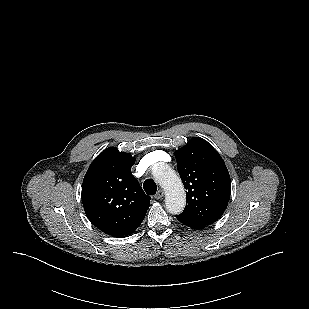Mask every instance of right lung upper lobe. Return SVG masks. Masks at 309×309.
I'll return each mask as SVG.
<instances>
[{
  "label": "right lung upper lobe",
  "mask_w": 309,
  "mask_h": 309,
  "mask_svg": "<svg viewBox=\"0 0 309 309\" xmlns=\"http://www.w3.org/2000/svg\"><path fill=\"white\" fill-rule=\"evenodd\" d=\"M135 158L110 147L88 168L82 184V201L89 220L102 232L124 238L142 223L150 197L131 173Z\"/></svg>",
  "instance_id": "1"
}]
</instances>
